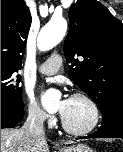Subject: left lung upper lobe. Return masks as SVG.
Instances as JSON below:
<instances>
[{
	"mask_svg": "<svg viewBox=\"0 0 123 152\" xmlns=\"http://www.w3.org/2000/svg\"><path fill=\"white\" fill-rule=\"evenodd\" d=\"M69 19L64 52L70 79L102 112L123 103V23L96 0L77 1Z\"/></svg>",
	"mask_w": 123,
	"mask_h": 152,
	"instance_id": "1",
	"label": "left lung upper lobe"
}]
</instances>
